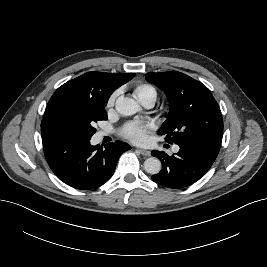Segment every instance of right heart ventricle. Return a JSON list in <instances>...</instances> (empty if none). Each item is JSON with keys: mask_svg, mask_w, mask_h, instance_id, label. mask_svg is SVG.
I'll list each match as a JSON object with an SVG mask.
<instances>
[{"mask_svg": "<svg viewBox=\"0 0 267 267\" xmlns=\"http://www.w3.org/2000/svg\"><path fill=\"white\" fill-rule=\"evenodd\" d=\"M134 95L141 103L147 100L155 101L157 98V91L151 84L140 83L134 87Z\"/></svg>", "mask_w": 267, "mask_h": 267, "instance_id": "obj_1", "label": "right heart ventricle"}]
</instances>
